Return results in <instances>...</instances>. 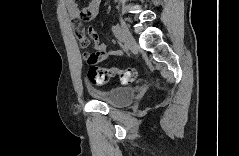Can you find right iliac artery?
Instances as JSON below:
<instances>
[{"mask_svg":"<svg viewBox=\"0 0 239 156\" xmlns=\"http://www.w3.org/2000/svg\"><path fill=\"white\" fill-rule=\"evenodd\" d=\"M112 31H113L115 37L117 38V40L120 43H124V38H123V35L121 33V29L118 26H113Z\"/></svg>","mask_w":239,"mask_h":156,"instance_id":"obj_1","label":"right iliac artery"}]
</instances>
